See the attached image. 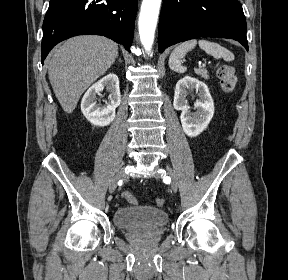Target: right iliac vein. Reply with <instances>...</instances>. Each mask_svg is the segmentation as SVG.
Instances as JSON below:
<instances>
[{
  "mask_svg": "<svg viewBox=\"0 0 288 280\" xmlns=\"http://www.w3.org/2000/svg\"><path fill=\"white\" fill-rule=\"evenodd\" d=\"M125 177H126V173H125L124 169L119 170L109 185V192L113 193L117 188L118 182L120 180H123Z\"/></svg>",
  "mask_w": 288,
  "mask_h": 280,
  "instance_id": "right-iliac-vein-1",
  "label": "right iliac vein"
}]
</instances>
